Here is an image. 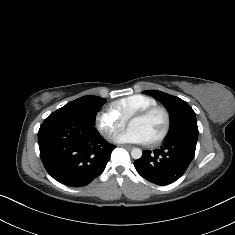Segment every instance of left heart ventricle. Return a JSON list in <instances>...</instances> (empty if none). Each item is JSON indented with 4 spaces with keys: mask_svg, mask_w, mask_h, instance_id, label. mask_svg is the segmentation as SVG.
<instances>
[{
    "mask_svg": "<svg viewBox=\"0 0 235 235\" xmlns=\"http://www.w3.org/2000/svg\"><path fill=\"white\" fill-rule=\"evenodd\" d=\"M130 127L140 129L149 142L163 132L165 128V117L162 113L156 112L146 119H131Z\"/></svg>",
    "mask_w": 235,
    "mask_h": 235,
    "instance_id": "left-heart-ventricle-1",
    "label": "left heart ventricle"
}]
</instances>
